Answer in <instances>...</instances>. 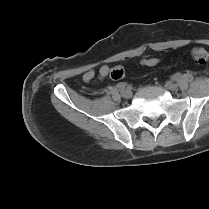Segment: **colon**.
Here are the masks:
<instances>
[{
    "label": "colon",
    "mask_w": 209,
    "mask_h": 209,
    "mask_svg": "<svg viewBox=\"0 0 209 209\" xmlns=\"http://www.w3.org/2000/svg\"><path fill=\"white\" fill-rule=\"evenodd\" d=\"M192 57L194 62L200 66H207L209 63V51L201 48L196 47L192 50ZM159 63L157 58H146L141 61V64L147 67L156 66ZM124 68L121 66L113 67L110 72L109 76L112 80H120L124 77Z\"/></svg>",
    "instance_id": "1"
}]
</instances>
